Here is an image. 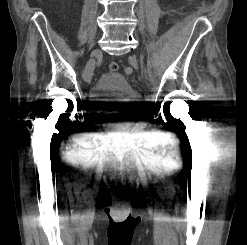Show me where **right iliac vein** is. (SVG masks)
<instances>
[{
  "label": "right iliac vein",
  "instance_id": "63e3f726",
  "mask_svg": "<svg viewBox=\"0 0 247 245\" xmlns=\"http://www.w3.org/2000/svg\"><path fill=\"white\" fill-rule=\"evenodd\" d=\"M99 54V51L96 49L92 52V57L89 59V61L86 64L85 70H84V80L86 82H90L91 78H92V74H93V70H94V66H95V60L93 58V56H97Z\"/></svg>",
  "mask_w": 247,
  "mask_h": 245
}]
</instances>
